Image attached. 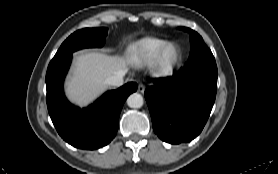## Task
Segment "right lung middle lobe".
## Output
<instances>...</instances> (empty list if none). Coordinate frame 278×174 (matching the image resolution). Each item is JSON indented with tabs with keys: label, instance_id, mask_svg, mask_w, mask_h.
<instances>
[{
	"label": "right lung middle lobe",
	"instance_id": "1",
	"mask_svg": "<svg viewBox=\"0 0 278 174\" xmlns=\"http://www.w3.org/2000/svg\"><path fill=\"white\" fill-rule=\"evenodd\" d=\"M107 33V28H85L74 32L60 46L52 62L82 48L102 47Z\"/></svg>",
	"mask_w": 278,
	"mask_h": 174
}]
</instances>
